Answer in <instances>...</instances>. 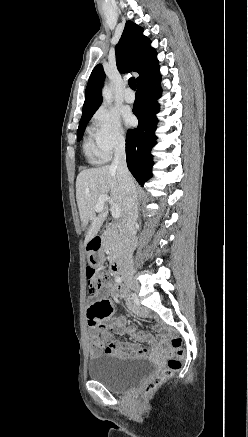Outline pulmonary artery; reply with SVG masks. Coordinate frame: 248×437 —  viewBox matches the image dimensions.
<instances>
[{"instance_id":"obj_1","label":"pulmonary artery","mask_w":248,"mask_h":437,"mask_svg":"<svg viewBox=\"0 0 248 437\" xmlns=\"http://www.w3.org/2000/svg\"><path fill=\"white\" fill-rule=\"evenodd\" d=\"M124 99L126 102L128 103H132L135 100V95L132 92V90L130 89H126L125 93H124Z\"/></svg>"}]
</instances>
